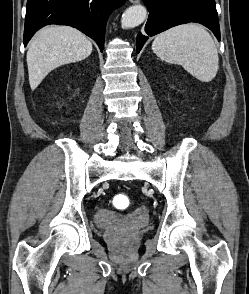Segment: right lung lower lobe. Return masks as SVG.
I'll list each match as a JSON object with an SVG mask.
<instances>
[{"mask_svg":"<svg viewBox=\"0 0 249 294\" xmlns=\"http://www.w3.org/2000/svg\"><path fill=\"white\" fill-rule=\"evenodd\" d=\"M125 0H28L24 29V46L45 25H69L104 46L105 26L113 9Z\"/></svg>","mask_w":249,"mask_h":294,"instance_id":"right-lung-lower-lobe-1","label":"right lung lower lobe"}]
</instances>
